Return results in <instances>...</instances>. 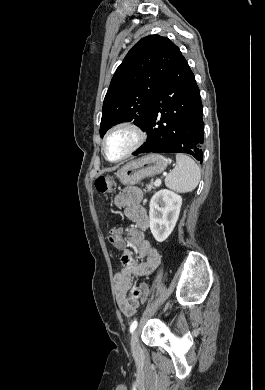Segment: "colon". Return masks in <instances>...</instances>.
Instances as JSON below:
<instances>
[{
	"label": "colon",
	"instance_id": "1",
	"mask_svg": "<svg viewBox=\"0 0 265 390\" xmlns=\"http://www.w3.org/2000/svg\"><path fill=\"white\" fill-rule=\"evenodd\" d=\"M112 180L109 177L101 176L95 180V188L99 193L105 194L111 190ZM108 240L115 244L118 240V231L116 228H110L107 232ZM149 294V289L146 284L141 286L139 291L140 300L145 302Z\"/></svg>",
	"mask_w": 265,
	"mask_h": 390
}]
</instances>
